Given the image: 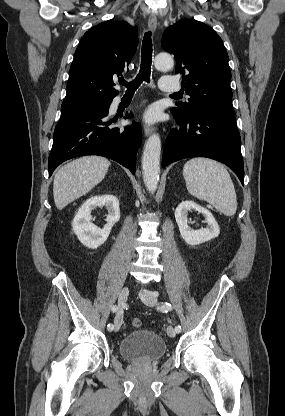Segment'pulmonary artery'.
<instances>
[{
	"mask_svg": "<svg viewBox=\"0 0 285 416\" xmlns=\"http://www.w3.org/2000/svg\"><path fill=\"white\" fill-rule=\"evenodd\" d=\"M171 80H175L174 83H169ZM160 88L164 91H167L169 96H176L178 93V90H180L181 86L180 83L177 79H174L173 76H163L160 79ZM121 97L117 96L116 98H114L113 103H112V108L116 109L119 102H120Z\"/></svg>",
	"mask_w": 285,
	"mask_h": 416,
	"instance_id": "e3ab8cb5",
	"label": "pulmonary artery"
}]
</instances>
